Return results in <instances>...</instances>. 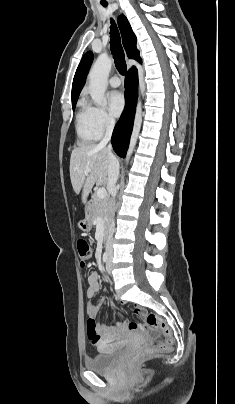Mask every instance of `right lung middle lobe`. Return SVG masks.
Masks as SVG:
<instances>
[{"label":"right lung middle lobe","instance_id":"dd1d6c3e","mask_svg":"<svg viewBox=\"0 0 235 404\" xmlns=\"http://www.w3.org/2000/svg\"><path fill=\"white\" fill-rule=\"evenodd\" d=\"M73 110L75 109L76 102H72Z\"/></svg>","mask_w":235,"mask_h":404}]
</instances>
